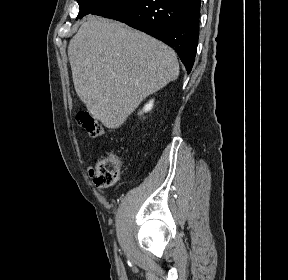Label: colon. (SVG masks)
I'll use <instances>...</instances> for the list:
<instances>
[{"label": "colon", "mask_w": 288, "mask_h": 280, "mask_svg": "<svg viewBox=\"0 0 288 280\" xmlns=\"http://www.w3.org/2000/svg\"><path fill=\"white\" fill-rule=\"evenodd\" d=\"M78 123L92 137H99L104 133L100 121L88 110H80L77 114ZM123 165L122 157L108 154L98 160L94 170V182L99 187L114 185L120 175Z\"/></svg>", "instance_id": "5ec220e1"}]
</instances>
